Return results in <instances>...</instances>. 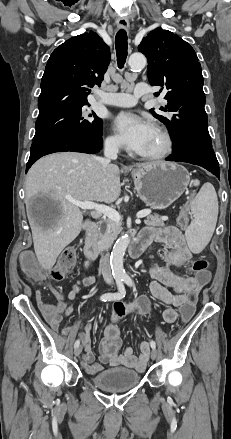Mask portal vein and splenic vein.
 <instances>
[{
	"label": "portal vein and splenic vein",
	"mask_w": 231,
	"mask_h": 439,
	"mask_svg": "<svg viewBox=\"0 0 231 439\" xmlns=\"http://www.w3.org/2000/svg\"><path fill=\"white\" fill-rule=\"evenodd\" d=\"M72 204L80 207L82 210H93L95 213L103 214L109 219L120 222L122 220L121 215L115 210L106 205L98 204L92 201H78L74 199L69 200ZM151 214L150 209H145L137 213V218L141 219Z\"/></svg>",
	"instance_id": "18ae733b"
}]
</instances>
